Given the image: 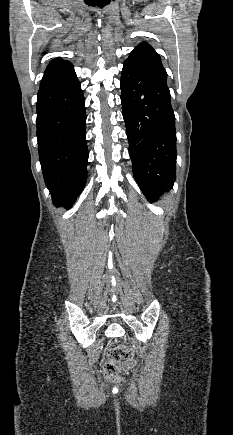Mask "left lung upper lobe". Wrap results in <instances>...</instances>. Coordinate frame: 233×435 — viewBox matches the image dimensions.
I'll use <instances>...</instances> for the list:
<instances>
[{
  "label": "left lung upper lobe",
  "instance_id": "obj_1",
  "mask_svg": "<svg viewBox=\"0 0 233 435\" xmlns=\"http://www.w3.org/2000/svg\"><path fill=\"white\" fill-rule=\"evenodd\" d=\"M135 69L155 77L164 82L167 81V73L162 66L160 56L146 42L140 43L124 62Z\"/></svg>",
  "mask_w": 233,
  "mask_h": 435
}]
</instances>
